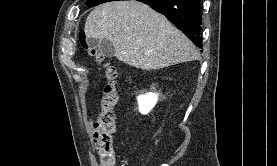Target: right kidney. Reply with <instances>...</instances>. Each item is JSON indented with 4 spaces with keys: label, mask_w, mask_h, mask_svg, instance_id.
<instances>
[{
    "label": "right kidney",
    "mask_w": 277,
    "mask_h": 166,
    "mask_svg": "<svg viewBox=\"0 0 277 166\" xmlns=\"http://www.w3.org/2000/svg\"><path fill=\"white\" fill-rule=\"evenodd\" d=\"M137 100H138V104H139V111L142 114H147L155 106V104L158 100V94L148 93L145 95H140L137 97Z\"/></svg>",
    "instance_id": "right-kidney-1"
}]
</instances>
